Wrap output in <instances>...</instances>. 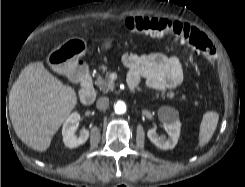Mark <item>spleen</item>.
Segmentation results:
<instances>
[{"label":"spleen","mask_w":245,"mask_h":187,"mask_svg":"<svg viewBox=\"0 0 245 187\" xmlns=\"http://www.w3.org/2000/svg\"><path fill=\"white\" fill-rule=\"evenodd\" d=\"M219 120V114L214 111L206 112L200 125L199 147L205 146L213 136Z\"/></svg>","instance_id":"spleen-1"}]
</instances>
